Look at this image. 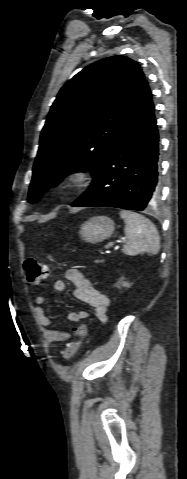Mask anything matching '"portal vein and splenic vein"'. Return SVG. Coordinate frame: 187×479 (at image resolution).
Segmentation results:
<instances>
[{
  "mask_svg": "<svg viewBox=\"0 0 187 479\" xmlns=\"http://www.w3.org/2000/svg\"><path fill=\"white\" fill-rule=\"evenodd\" d=\"M119 242H121V241H119ZM113 246H114V242H110L109 244H107V245L105 246V249H106V250H105V253H108V252H109V249H110L111 247H113Z\"/></svg>",
  "mask_w": 187,
  "mask_h": 479,
  "instance_id": "obj_1",
  "label": "portal vein and splenic vein"
}]
</instances>
